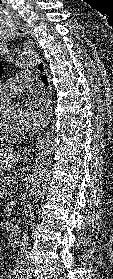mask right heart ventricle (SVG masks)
<instances>
[{
	"instance_id": "obj_1",
	"label": "right heart ventricle",
	"mask_w": 113,
	"mask_h": 279,
	"mask_svg": "<svg viewBox=\"0 0 113 279\" xmlns=\"http://www.w3.org/2000/svg\"><path fill=\"white\" fill-rule=\"evenodd\" d=\"M8 98L6 96H4L3 94L0 93V107H2L3 105H5L8 102ZM6 141L2 140L0 138V146L4 145Z\"/></svg>"
}]
</instances>
